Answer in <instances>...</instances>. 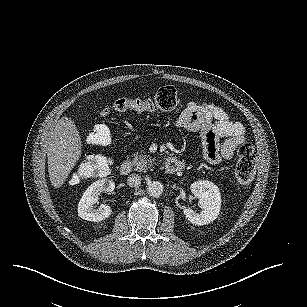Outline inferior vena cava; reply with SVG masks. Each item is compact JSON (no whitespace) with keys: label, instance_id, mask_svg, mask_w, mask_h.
I'll use <instances>...</instances> for the list:
<instances>
[{"label":"inferior vena cava","instance_id":"1","mask_svg":"<svg viewBox=\"0 0 307 307\" xmlns=\"http://www.w3.org/2000/svg\"><path fill=\"white\" fill-rule=\"evenodd\" d=\"M141 176L139 174H130L127 178V184L130 187L138 188L141 184Z\"/></svg>","mask_w":307,"mask_h":307}]
</instances>
